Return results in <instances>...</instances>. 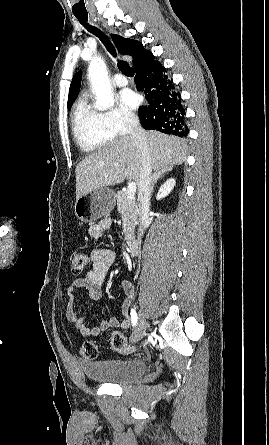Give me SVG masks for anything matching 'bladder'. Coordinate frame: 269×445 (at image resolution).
<instances>
[{"mask_svg": "<svg viewBox=\"0 0 269 445\" xmlns=\"http://www.w3.org/2000/svg\"><path fill=\"white\" fill-rule=\"evenodd\" d=\"M85 377L94 382L130 384L145 374L147 365L140 359L81 361Z\"/></svg>", "mask_w": 269, "mask_h": 445, "instance_id": "1", "label": "bladder"}]
</instances>
